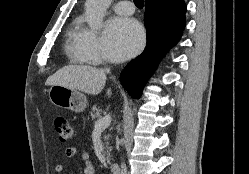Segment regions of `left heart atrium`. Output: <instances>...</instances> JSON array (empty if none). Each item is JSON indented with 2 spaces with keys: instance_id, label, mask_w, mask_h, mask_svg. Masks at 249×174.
Returning a JSON list of instances; mask_svg holds the SVG:
<instances>
[{
  "instance_id": "obj_1",
  "label": "left heart atrium",
  "mask_w": 249,
  "mask_h": 174,
  "mask_svg": "<svg viewBox=\"0 0 249 174\" xmlns=\"http://www.w3.org/2000/svg\"><path fill=\"white\" fill-rule=\"evenodd\" d=\"M144 43L141 25L131 18H114L108 22L103 38L107 59L123 61L137 54Z\"/></svg>"
}]
</instances>
